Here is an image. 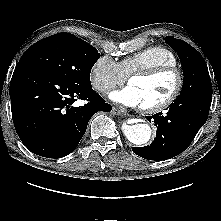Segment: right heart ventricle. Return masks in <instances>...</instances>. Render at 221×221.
<instances>
[{
	"mask_svg": "<svg viewBox=\"0 0 221 221\" xmlns=\"http://www.w3.org/2000/svg\"><path fill=\"white\" fill-rule=\"evenodd\" d=\"M175 54L163 46H149L132 55L123 58L120 68L126 76L132 72L142 69H149L161 65L177 66Z\"/></svg>",
	"mask_w": 221,
	"mask_h": 221,
	"instance_id": "obj_1",
	"label": "right heart ventricle"
}]
</instances>
